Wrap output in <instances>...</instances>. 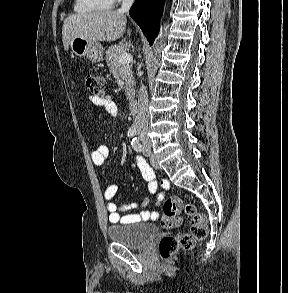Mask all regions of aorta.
<instances>
[{
    "mask_svg": "<svg viewBox=\"0 0 288 293\" xmlns=\"http://www.w3.org/2000/svg\"><path fill=\"white\" fill-rule=\"evenodd\" d=\"M159 45H160V42L157 40L155 41V44H154V51L157 53L158 50H159Z\"/></svg>",
    "mask_w": 288,
    "mask_h": 293,
    "instance_id": "1",
    "label": "aorta"
}]
</instances>
